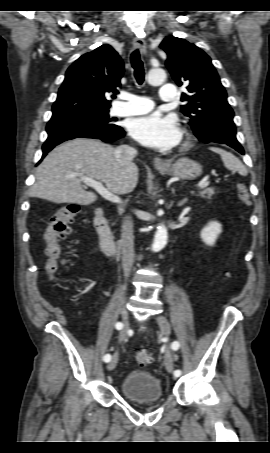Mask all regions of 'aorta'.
I'll use <instances>...</instances> for the list:
<instances>
[{
  "label": "aorta",
  "instance_id": "aorta-1",
  "mask_svg": "<svg viewBox=\"0 0 270 453\" xmlns=\"http://www.w3.org/2000/svg\"><path fill=\"white\" fill-rule=\"evenodd\" d=\"M165 78L166 73L163 69L160 68L151 69L147 76L148 82L151 85H160L164 82ZM167 239H168L167 228L165 227V225L160 224L157 227L154 242L152 245V250L154 252L162 250L167 244Z\"/></svg>",
  "mask_w": 270,
  "mask_h": 453
}]
</instances>
